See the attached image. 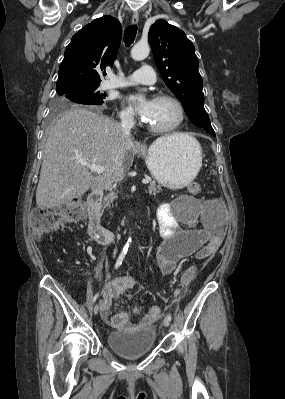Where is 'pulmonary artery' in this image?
<instances>
[{
  "label": "pulmonary artery",
  "mask_w": 285,
  "mask_h": 399,
  "mask_svg": "<svg viewBox=\"0 0 285 399\" xmlns=\"http://www.w3.org/2000/svg\"><path fill=\"white\" fill-rule=\"evenodd\" d=\"M155 81V75L152 68L148 65L142 66L137 71L131 73L125 77H113L108 79L104 83L105 89H114L120 87H126L136 84H152Z\"/></svg>",
  "instance_id": "obj_1"
}]
</instances>
